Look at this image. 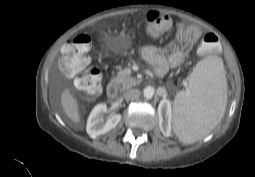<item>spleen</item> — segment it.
Wrapping results in <instances>:
<instances>
[{
	"instance_id": "obj_1",
	"label": "spleen",
	"mask_w": 255,
	"mask_h": 177,
	"mask_svg": "<svg viewBox=\"0 0 255 177\" xmlns=\"http://www.w3.org/2000/svg\"><path fill=\"white\" fill-rule=\"evenodd\" d=\"M227 103V81L218 56L200 60L189 78V89L180 91L173 105V129L185 144L208 135L221 121Z\"/></svg>"
}]
</instances>
